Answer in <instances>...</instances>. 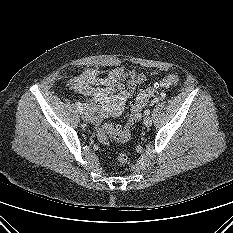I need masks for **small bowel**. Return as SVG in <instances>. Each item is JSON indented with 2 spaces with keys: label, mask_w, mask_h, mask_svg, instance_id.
I'll use <instances>...</instances> for the list:
<instances>
[{
  "label": "small bowel",
  "mask_w": 233,
  "mask_h": 233,
  "mask_svg": "<svg viewBox=\"0 0 233 233\" xmlns=\"http://www.w3.org/2000/svg\"><path fill=\"white\" fill-rule=\"evenodd\" d=\"M151 74L115 67L105 77L95 69H88L71 78L68 86L76 93L100 103L104 110L111 114H119L125 102L131 97L138 85L148 79Z\"/></svg>",
  "instance_id": "obj_1"
}]
</instances>
